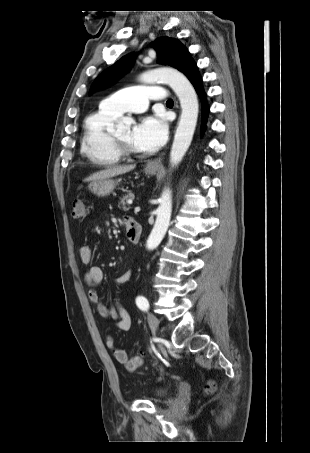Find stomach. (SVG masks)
Here are the masks:
<instances>
[{
	"mask_svg": "<svg viewBox=\"0 0 310 453\" xmlns=\"http://www.w3.org/2000/svg\"><path fill=\"white\" fill-rule=\"evenodd\" d=\"M144 171L147 175H153L158 171V169L150 168L147 166L144 169ZM115 186H116V182L114 180L106 178V179L93 181L89 185V190L97 196H106V195H109L114 190Z\"/></svg>",
	"mask_w": 310,
	"mask_h": 453,
	"instance_id": "obj_1",
	"label": "stomach"
}]
</instances>
